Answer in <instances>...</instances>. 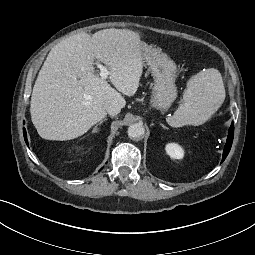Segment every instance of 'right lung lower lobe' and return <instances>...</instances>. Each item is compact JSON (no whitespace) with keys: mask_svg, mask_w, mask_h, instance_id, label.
I'll return each mask as SVG.
<instances>
[{"mask_svg":"<svg viewBox=\"0 0 255 255\" xmlns=\"http://www.w3.org/2000/svg\"><path fill=\"white\" fill-rule=\"evenodd\" d=\"M23 133H24V139H25L26 143L28 144V140H27V135H26L25 129H23Z\"/></svg>","mask_w":255,"mask_h":255,"instance_id":"right-lung-lower-lobe-1","label":"right lung lower lobe"}]
</instances>
